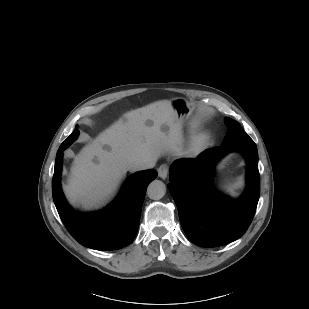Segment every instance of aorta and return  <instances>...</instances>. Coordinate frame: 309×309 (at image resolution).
Instances as JSON below:
<instances>
[{"mask_svg":"<svg viewBox=\"0 0 309 309\" xmlns=\"http://www.w3.org/2000/svg\"><path fill=\"white\" fill-rule=\"evenodd\" d=\"M166 193V186L160 180H153L147 187V195L150 199L159 200Z\"/></svg>","mask_w":309,"mask_h":309,"instance_id":"762f6f07","label":"aorta"}]
</instances>
